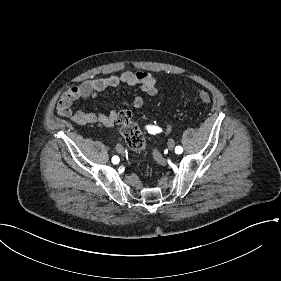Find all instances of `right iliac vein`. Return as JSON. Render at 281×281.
<instances>
[{
  "mask_svg": "<svg viewBox=\"0 0 281 281\" xmlns=\"http://www.w3.org/2000/svg\"><path fill=\"white\" fill-rule=\"evenodd\" d=\"M116 151H117L118 153H123L124 149H123L122 145L117 144V145H116Z\"/></svg>",
  "mask_w": 281,
  "mask_h": 281,
  "instance_id": "right-iliac-vein-1",
  "label": "right iliac vein"
}]
</instances>
